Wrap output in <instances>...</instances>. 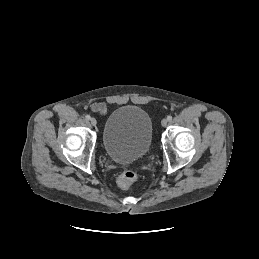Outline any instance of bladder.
I'll return each mask as SVG.
<instances>
[{
  "mask_svg": "<svg viewBox=\"0 0 259 259\" xmlns=\"http://www.w3.org/2000/svg\"><path fill=\"white\" fill-rule=\"evenodd\" d=\"M153 126L150 116L140 107L124 105L106 119L102 146L109 158L118 163H133L150 151Z\"/></svg>",
  "mask_w": 259,
  "mask_h": 259,
  "instance_id": "31cf9c89",
  "label": "bladder"
}]
</instances>
